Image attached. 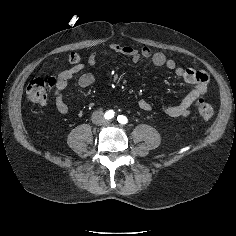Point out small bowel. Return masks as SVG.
<instances>
[{
  "mask_svg": "<svg viewBox=\"0 0 236 236\" xmlns=\"http://www.w3.org/2000/svg\"><path fill=\"white\" fill-rule=\"evenodd\" d=\"M111 53H118L129 57L133 62H139L142 59H150L155 66L165 67L174 71L177 77L182 78L186 83L193 85V89L176 105H164L160 111L169 117H187L192 112L193 104L207 93L209 77L204 71L195 70L192 68L177 67L176 62L169 59L162 52H152L148 47L141 49L134 48L128 45L111 44L108 48L94 52L89 55L87 62L77 64L71 68L62 70L57 77L54 91L55 106L59 113L67 114L69 107L65 102L64 91L73 78V76L85 69L87 66L94 65L101 55H109ZM95 81L91 73H84L78 79V85L81 88L91 86ZM137 106L144 111H151V104L145 100L140 99Z\"/></svg>",
  "mask_w": 236,
  "mask_h": 236,
  "instance_id": "small-bowel-1",
  "label": "small bowel"
}]
</instances>
